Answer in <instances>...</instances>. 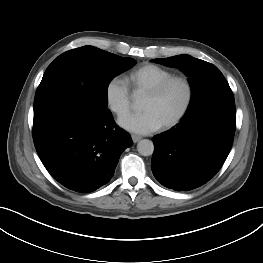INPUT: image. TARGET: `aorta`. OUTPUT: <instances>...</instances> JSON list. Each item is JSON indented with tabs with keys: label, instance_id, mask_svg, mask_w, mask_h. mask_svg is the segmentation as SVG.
I'll return each instance as SVG.
<instances>
[{
	"label": "aorta",
	"instance_id": "1",
	"mask_svg": "<svg viewBox=\"0 0 263 263\" xmlns=\"http://www.w3.org/2000/svg\"><path fill=\"white\" fill-rule=\"evenodd\" d=\"M137 150L142 156H150L154 152V144L151 140L143 139L138 142Z\"/></svg>",
	"mask_w": 263,
	"mask_h": 263
}]
</instances>
